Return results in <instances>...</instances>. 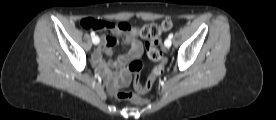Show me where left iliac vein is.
<instances>
[{
	"label": "left iliac vein",
	"instance_id": "obj_1",
	"mask_svg": "<svg viewBox=\"0 0 276 120\" xmlns=\"http://www.w3.org/2000/svg\"><path fill=\"white\" fill-rule=\"evenodd\" d=\"M165 44H167V46H166V45H165V46H166L167 48H169V47L171 46V44H172L171 39H169V38L166 39V40H165Z\"/></svg>",
	"mask_w": 276,
	"mask_h": 120
}]
</instances>
